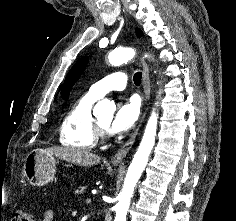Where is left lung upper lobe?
<instances>
[{"mask_svg":"<svg viewBox=\"0 0 236 221\" xmlns=\"http://www.w3.org/2000/svg\"><path fill=\"white\" fill-rule=\"evenodd\" d=\"M138 36H141L142 33L139 29L136 30ZM88 62V57L84 56L81 59H79L74 66L69 71L64 86L62 88L61 94L64 99H67L69 97V92L74 85V83L78 80V78L81 76L82 72L86 68Z\"/></svg>","mask_w":236,"mask_h":221,"instance_id":"left-lung-upper-lobe-1","label":"left lung upper lobe"}]
</instances>
